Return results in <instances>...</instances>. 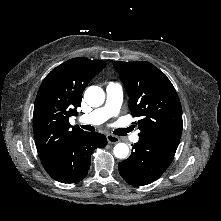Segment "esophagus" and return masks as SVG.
I'll list each match as a JSON object with an SVG mask.
<instances>
[{"label": "esophagus", "mask_w": 221, "mask_h": 221, "mask_svg": "<svg viewBox=\"0 0 221 221\" xmlns=\"http://www.w3.org/2000/svg\"><path fill=\"white\" fill-rule=\"evenodd\" d=\"M107 141L110 144H114L120 141L119 137L112 135V134H108L107 135Z\"/></svg>", "instance_id": "1"}]
</instances>
